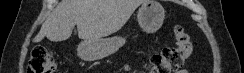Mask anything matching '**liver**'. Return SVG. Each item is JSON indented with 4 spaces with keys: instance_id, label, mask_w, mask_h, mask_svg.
<instances>
[{
    "instance_id": "liver-1",
    "label": "liver",
    "mask_w": 244,
    "mask_h": 73,
    "mask_svg": "<svg viewBox=\"0 0 244 73\" xmlns=\"http://www.w3.org/2000/svg\"><path fill=\"white\" fill-rule=\"evenodd\" d=\"M147 0H62L42 24L33 42L68 39L75 25L84 41L99 40L119 31L135 9Z\"/></svg>"
}]
</instances>
